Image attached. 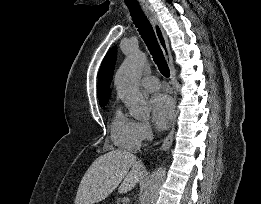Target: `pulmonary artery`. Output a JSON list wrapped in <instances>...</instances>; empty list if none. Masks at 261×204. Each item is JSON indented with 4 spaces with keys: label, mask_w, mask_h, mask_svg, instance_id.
<instances>
[{
    "label": "pulmonary artery",
    "mask_w": 261,
    "mask_h": 204,
    "mask_svg": "<svg viewBox=\"0 0 261 204\" xmlns=\"http://www.w3.org/2000/svg\"><path fill=\"white\" fill-rule=\"evenodd\" d=\"M141 86L148 91L157 90L160 87V83L157 77L147 76L142 79Z\"/></svg>",
    "instance_id": "1"
}]
</instances>
